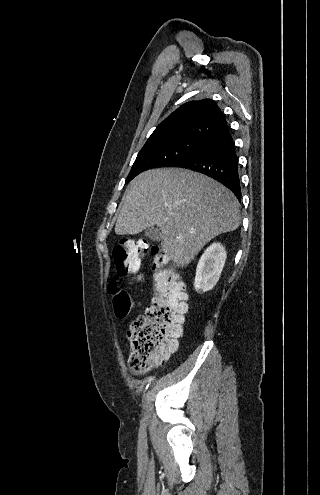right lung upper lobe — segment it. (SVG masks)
<instances>
[{
  "mask_svg": "<svg viewBox=\"0 0 320 495\" xmlns=\"http://www.w3.org/2000/svg\"><path fill=\"white\" fill-rule=\"evenodd\" d=\"M226 127L224 114L213 100L190 101L161 122L144 146L188 138L208 139Z\"/></svg>",
  "mask_w": 320,
  "mask_h": 495,
  "instance_id": "1",
  "label": "right lung upper lobe"
}]
</instances>
